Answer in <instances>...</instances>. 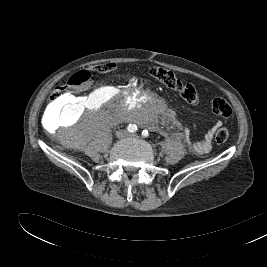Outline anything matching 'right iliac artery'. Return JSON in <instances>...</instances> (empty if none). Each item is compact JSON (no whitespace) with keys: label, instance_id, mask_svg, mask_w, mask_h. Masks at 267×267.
Listing matches in <instances>:
<instances>
[{"label":"right iliac artery","instance_id":"right-iliac-artery-1","mask_svg":"<svg viewBox=\"0 0 267 267\" xmlns=\"http://www.w3.org/2000/svg\"><path fill=\"white\" fill-rule=\"evenodd\" d=\"M127 130L131 133H134L137 131V126L135 124H129Z\"/></svg>","mask_w":267,"mask_h":267}]
</instances>
